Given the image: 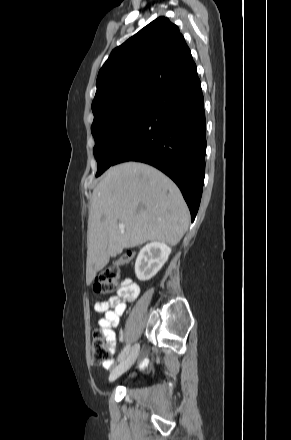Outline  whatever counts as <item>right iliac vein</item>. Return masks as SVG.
<instances>
[{"label": "right iliac vein", "mask_w": 291, "mask_h": 440, "mask_svg": "<svg viewBox=\"0 0 291 440\" xmlns=\"http://www.w3.org/2000/svg\"><path fill=\"white\" fill-rule=\"evenodd\" d=\"M139 354V345L135 344L131 351L128 353L126 358L122 360V362L116 366L110 374L109 381L112 382L117 379L120 375L126 372L135 362L137 356Z\"/></svg>", "instance_id": "obj_1"}]
</instances>
